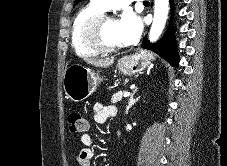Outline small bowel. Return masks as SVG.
Returning a JSON list of instances; mask_svg holds the SVG:
<instances>
[{"label":"small bowel","mask_w":227,"mask_h":166,"mask_svg":"<svg viewBox=\"0 0 227 166\" xmlns=\"http://www.w3.org/2000/svg\"><path fill=\"white\" fill-rule=\"evenodd\" d=\"M93 110L94 119L98 123H103L117 114V109L114 105L105 106L102 103H95ZM81 143L84 145V148L78 154L77 161L80 166H92L91 160L93 158L94 151L91 146L94 143L93 137L88 133H84L81 136Z\"/></svg>","instance_id":"c3829d8e"}]
</instances>
